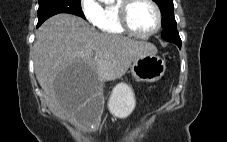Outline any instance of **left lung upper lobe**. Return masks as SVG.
<instances>
[{
	"label": "left lung upper lobe",
	"instance_id": "obj_1",
	"mask_svg": "<svg viewBox=\"0 0 227 142\" xmlns=\"http://www.w3.org/2000/svg\"><path fill=\"white\" fill-rule=\"evenodd\" d=\"M155 2L158 4L163 15L162 38L181 47V39L177 31L176 20L174 17L173 0H155Z\"/></svg>",
	"mask_w": 227,
	"mask_h": 142
}]
</instances>
